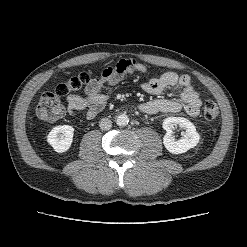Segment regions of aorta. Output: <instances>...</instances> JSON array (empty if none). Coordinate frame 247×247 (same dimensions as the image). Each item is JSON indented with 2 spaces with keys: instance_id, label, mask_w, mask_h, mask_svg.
<instances>
[{
  "instance_id": "762f6f07",
  "label": "aorta",
  "mask_w": 247,
  "mask_h": 247,
  "mask_svg": "<svg viewBox=\"0 0 247 247\" xmlns=\"http://www.w3.org/2000/svg\"><path fill=\"white\" fill-rule=\"evenodd\" d=\"M115 121L118 126H126L129 122V118L126 114H120L116 117Z\"/></svg>"
}]
</instances>
